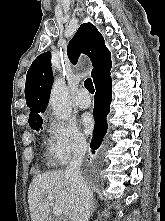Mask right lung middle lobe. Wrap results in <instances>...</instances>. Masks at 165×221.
Here are the masks:
<instances>
[{
  "label": "right lung middle lobe",
  "instance_id": "obj_1",
  "mask_svg": "<svg viewBox=\"0 0 165 221\" xmlns=\"http://www.w3.org/2000/svg\"><path fill=\"white\" fill-rule=\"evenodd\" d=\"M29 124H30L31 128L39 130L42 126V118L30 120Z\"/></svg>",
  "mask_w": 165,
  "mask_h": 221
}]
</instances>
